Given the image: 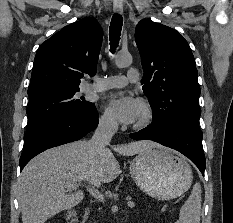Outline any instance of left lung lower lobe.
I'll return each instance as SVG.
<instances>
[{"instance_id": "1", "label": "left lung lower lobe", "mask_w": 233, "mask_h": 223, "mask_svg": "<svg viewBox=\"0 0 233 223\" xmlns=\"http://www.w3.org/2000/svg\"><path fill=\"white\" fill-rule=\"evenodd\" d=\"M130 137L134 140H153L181 152L199 168L204 176L206 161L202 146L203 133L199 125L151 124L137 133L130 134Z\"/></svg>"}]
</instances>
